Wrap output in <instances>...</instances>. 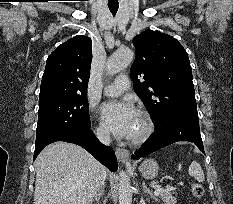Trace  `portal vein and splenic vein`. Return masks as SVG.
I'll return each mask as SVG.
<instances>
[{"label":"portal vein and splenic vein","instance_id":"1","mask_svg":"<svg viewBox=\"0 0 233 204\" xmlns=\"http://www.w3.org/2000/svg\"><path fill=\"white\" fill-rule=\"evenodd\" d=\"M162 192H164L163 187L158 186L157 189L155 190L154 194H155L156 196H158V195H160Z\"/></svg>","mask_w":233,"mask_h":204}]
</instances>
